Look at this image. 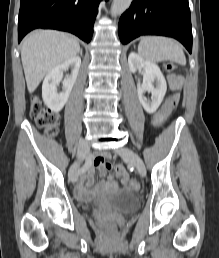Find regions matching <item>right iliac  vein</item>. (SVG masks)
<instances>
[{"mask_svg":"<svg viewBox=\"0 0 219 258\" xmlns=\"http://www.w3.org/2000/svg\"><path fill=\"white\" fill-rule=\"evenodd\" d=\"M89 153V145L85 139H81L78 144V159L83 160ZM79 163L75 162L69 169L68 178L71 182H76L78 178Z\"/></svg>","mask_w":219,"mask_h":258,"instance_id":"obj_1","label":"right iliac vein"}]
</instances>
